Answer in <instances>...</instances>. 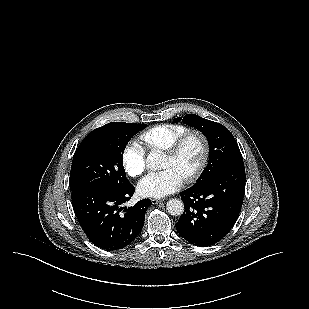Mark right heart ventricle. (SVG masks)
<instances>
[{"label":"right heart ventricle","instance_id":"1","mask_svg":"<svg viewBox=\"0 0 309 309\" xmlns=\"http://www.w3.org/2000/svg\"><path fill=\"white\" fill-rule=\"evenodd\" d=\"M189 129L182 124L165 123L153 126L140 134L150 151H165L179 136Z\"/></svg>","mask_w":309,"mask_h":309}]
</instances>
